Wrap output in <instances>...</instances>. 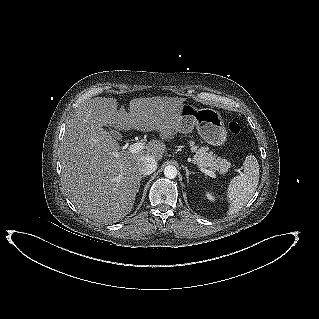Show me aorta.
I'll return each mask as SVG.
<instances>
[{"label": "aorta", "mask_w": 319, "mask_h": 319, "mask_svg": "<svg viewBox=\"0 0 319 319\" xmlns=\"http://www.w3.org/2000/svg\"><path fill=\"white\" fill-rule=\"evenodd\" d=\"M164 175L168 179H174L177 176V169L173 165H168L164 168Z\"/></svg>", "instance_id": "aorta-1"}]
</instances>
